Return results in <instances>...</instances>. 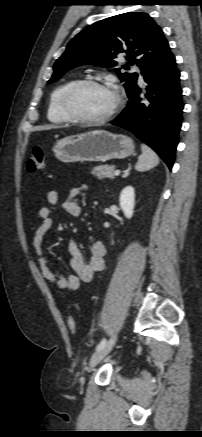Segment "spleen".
<instances>
[{"mask_svg": "<svg viewBox=\"0 0 202 437\" xmlns=\"http://www.w3.org/2000/svg\"><path fill=\"white\" fill-rule=\"evenodd\" d=\"M142 154L139 156L135 169L139 172L148 171L159 164L157 154L146 144L141 145Z\"/></svg>", "mask_w": 202, "mask_h": 437, "instance_id": "spleen-1", "label": "spleen"}]
</instances>
